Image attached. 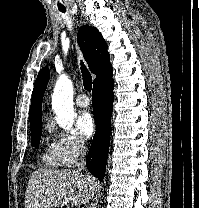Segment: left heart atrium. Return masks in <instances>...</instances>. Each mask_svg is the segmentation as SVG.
Here are the masks:
<instances>
[{
	"label": "left heart atrium",
	"mask_w": 199,
	"mask_h": 208,
	"mask_svg": "<svg viewBox=\"0 0 199 208\" xmlns=\"http://www.w3.org/2000/svg\"><path fill=\"white\" fill-rule=\"evenodd\" d=\"M77 129L85 139L90 138L95 131V122L88 111H82L77 117Z\"/></svg>",
	"instance_id": "39dd6f15"
}]
</instances>
